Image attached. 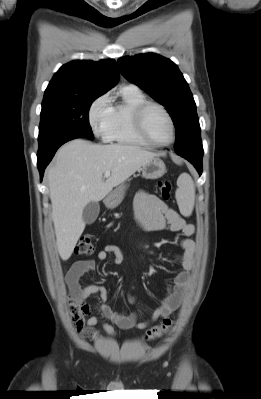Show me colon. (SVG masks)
<instances>
[{
	"mask_svg": "<svg viewBox=\"0 0 261 399\" xmlns=\"http://www.w3.org/2000/svg\"><path fill=\"white\" fill-rule=\"evenodd\" d=\"M158 189L163 199L168 200L171 194V184L168 180H160ZM94 251V242L91 235H82L75 247V253L78 255H88ZM90 313L88 305L84 302L72 297L69 301V314L74 326L79 331L85 329V320ZM173 325L171 317H164L160 324L149 328L145 333L148 340L157 339L166 334Z\"/></svg>",
	"mask_w": 261,
	"mask_h": 399,
	"instance_id": "1",
	"label": "colon"
}]
</instances>
